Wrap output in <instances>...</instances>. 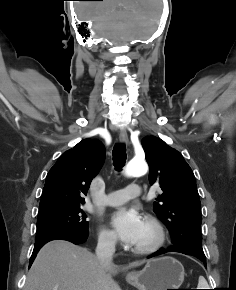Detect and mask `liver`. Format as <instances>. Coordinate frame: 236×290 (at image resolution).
I'll return each instance as SVG.
<instances>
[{
  "mask_svg": "<svg viewBox=\"0 0 236 290\" xmlns=\"http://www.w3.org/2000/svg\"><path fill=\"white\" fill-rule=\"evenodd\" d=\"M144 261H135L129 268ZM119 267L102 264L84 247L64 240L45 244L27 275L24 290H121L113 280Z\"/></svg>",
  "mask_w": 236,
  "mask_h": 290,
  "instance_id": "obj_1",
  "label": "liver"
}]
</instances>
